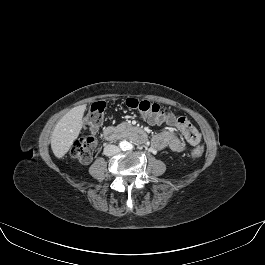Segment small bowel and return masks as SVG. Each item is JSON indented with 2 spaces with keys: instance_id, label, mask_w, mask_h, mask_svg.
<instances>
[{
  "instance_id": "small-bowel-1",
  "label": "small bowel",
  "mask_w": 265,
  "mask_h": 265,
  "mask_svg": "<svg viewBox=\"0 0 265 265\" xmlns=\"http://www.w3.org/2000/svg\"><path fill=\"white\" fill-rule=\"evenodd\" d=\"M149 124L168 126V129L155 135L152 138V146L156 150L170 149L173 152H183L187 149L188 144L195 146L200 142V134L198 130L182 116L175 117L171 115L166 118H158L155 116L144 115ZM176 129L179 130L184 140L178 135Z\"/></svg>"
}]
</instances>
